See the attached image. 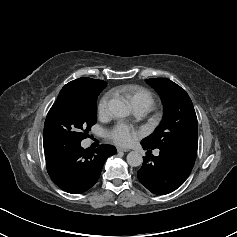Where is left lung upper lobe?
I'll list each match as a JSON object with an SVG mask.
<instances>
[{"mask_svg": "<svg viewBox=\"0 0 237 237\" xmlns=\"http://www.w3.org/2000/svg\"><path fill=\"white\" fill-rule=\"evenodd\" d=\"M147 83L159 93L164 105V117L154 133L141 143L151 149L197 150V117L186 91L166 78L147 79Z\"/></svg>", "mask_w": 237, "mask_h": 237, "instance_id": "1", "label": "left lung upper lobe"}]
</instances>
